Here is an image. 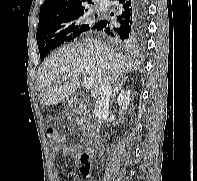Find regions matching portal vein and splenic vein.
<instances>
[{"mask_svg":"<svg viewBox=\"0 0 197 181\" xmlns=\"http://www.w3.org/2000/svg\"><path fill=\"white\" fill-rule=\"evenodd\" d=\"M64 80H67V77H63ZM94 84V78L92 76L85 75L83 77V85L86 89H90Z\"/></svg>","mask_w":197,"mask_h":181,"instance_id":"obj_1","label":"portal vein and splenic vein"}]
</instances>
